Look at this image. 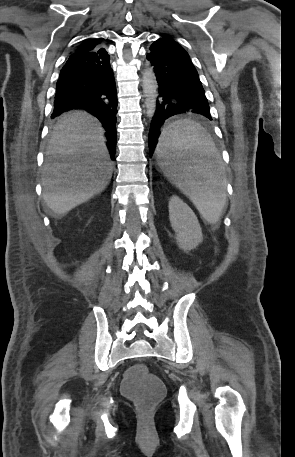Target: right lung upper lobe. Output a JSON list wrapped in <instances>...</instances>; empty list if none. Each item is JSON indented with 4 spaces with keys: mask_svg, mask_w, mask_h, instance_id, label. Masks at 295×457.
I'll list each match as a JSON object with an SVG mask.
<instances>
[{
    "mask_svg": "<svg viewBox=\"0 0 295 457\" xmlns=\"http://www.w3.org/2000/svg\"><path fill=\"white\" fill-rule=\"evenodd\" d=\"M100 43L101 42L99 40H87L77 47L75 53H83L95 50Z\"/></svg>",
    "mask_w": 295,
    "mask_h": 457,
    "instance_id": "1",
    "label": "right lung upper lobe"
}]
</instances>
